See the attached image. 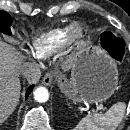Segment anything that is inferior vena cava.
Masks as SVG:
<instances>
[{
  "label": "inferior vena cava",
  "instance_id": "obj_1",
  "mask_svg": "<svg viewBox=\"0 0 130 130\" xmlns=\"http://www.w3.org/2000/svg\"><path fill=\"white\" fill-rule=\"evenodd\" d=\"M20 71L29 83H37L41 76L40 67L36 63L26 62L21 66Z\"/></svg>",
  "mask_w": 130,
  "mask_h": 130
}]
</instances>
